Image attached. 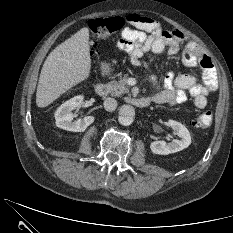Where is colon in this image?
<instances>
[{"label": "colon", "mask_w": 233, "mask_h": 233, "mask_svg": "<svg viewBox=\"0 0 233 233\" xmlns=\"http://www.w3.org/2000/svg\"><path fill=\"white\" fill-rule=\"evenodd\" d=\"M124 26V20L121 17L96 18L89 22V29L94 40L110 37L118 33ZM213 120L211 111H205L196 117L192 126L198 130L207 129Z\"/></svg>", "instance_id": "colon-1"}]
</instances>
